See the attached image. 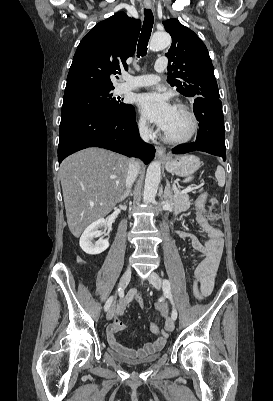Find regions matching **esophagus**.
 <instances>
[{
  "instance_id": "obj_1",
  "label": "esophagus",
  "mask_w": 273,
  "mask_h": 401,
  "mask_svg": "<svg viewBox=\"0 0 273 401\" xmlns=\"http://www.w3.org/2000/svg\"><path fill=\"white\" fill-rule=\"evenodd\" d=\"M146 9H150L152 7L151 4H144ZM156 156L160 159H167L166 157V149L162 146H157L156 148Z\"/></svg>"
}]
</instances>
